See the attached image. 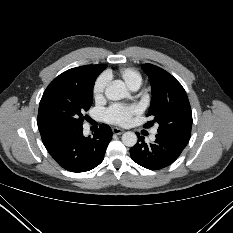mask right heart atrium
Segmentation results:
<instances>
[{
    "label": "right heart atrium",
    "instance_id": "d8ad5b80",
    "mask_svg": "<svg viewBox=\"0 0 233 233\" xmlns=\"http://www.w3.org/2000/svg\"><path fill=\"white\" fill-rule=\"evenodd\" d=\"M108 83V75L104 74L99 76L94 84H93V88H92V94H93V98L96 102H100L103 100L104 98V91L105 88L107 86Z\"/></svg>",
    "mask_w": 233,
    "mask_h": 233
}]
</instances>
